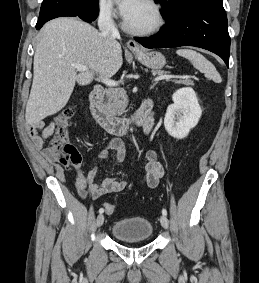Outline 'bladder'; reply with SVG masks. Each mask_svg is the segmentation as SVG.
Returning <instances> with one entry per match:
<instances>
[{
    "mask_svg": "<svg viewBox=\"0 0 259 283\" xmlns=\"http://www.w3.org/2000/svg\"><path fill=\"white\" fill-rule=\"evenodd\" d=\"M152 232L150 221L141 217L120 219L111 228L112 236L118 240H148Z\"/></svg>",
    "mask_w": 259,
    "mask_h": 283,
    "instance_id": "bladder-1",
    "label": "bladder"
}]
</instances>
